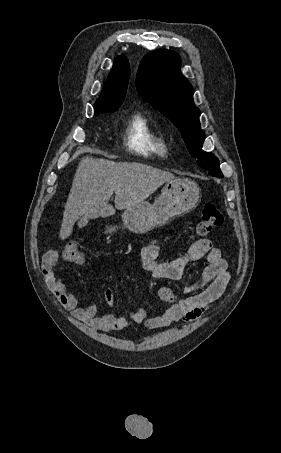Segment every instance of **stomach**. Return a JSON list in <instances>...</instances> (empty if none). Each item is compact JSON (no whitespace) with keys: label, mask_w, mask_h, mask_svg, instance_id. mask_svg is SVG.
Wrapping results in <instances>:
<instances>
[{"label":"stomach","mask_w":281,"mask_h":453,"mask_svg":"<svg viewBox=\"0 0 281 453\" xmlns=\"http://www.w3.org/2000/svg\"><path fill=\"white\" fill-rule=\"evenodd\" d=\"M200 198L201 190L194 180L189 178L167 180L153 204L143 200V202H137L136 206L124 210L123 227L137 235L149 233L155 227L167 224L175 216H181L184 212L195 208ZM112 231L113 229H109L106 233H112Z\"/></svg>","instance_id":"stomach-1"}]
</instances>
